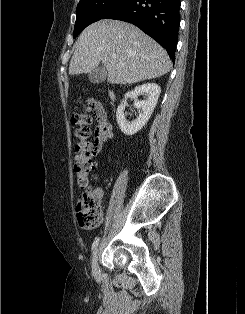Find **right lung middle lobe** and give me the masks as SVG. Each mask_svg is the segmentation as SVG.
<instances>
[{"mask_svg":"<svg viewBox=\"0 0 245 314\" xmlns=\"http://www.w3.org/2000/svg\"><path fill=\"white\" fill-rule=\"evenodd\" d=\"M129 0H80L76 10L74 38L88 25L102 19Z\"/></svg>","mask_w":245,"mask_h":314,"instance_id":"1","label":"right lung middle lobe"}]
</instances>
